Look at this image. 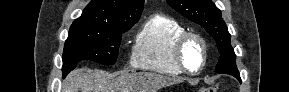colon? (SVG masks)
<instances>
[{
    "mask_svg": "<svg viewBox=\"0 0 289 92\" xmlns=\"http://www.w3.org/2000/svg\"><path fill=\"white\" fill-rule=\"evenodd\" d=\"M217 89L215 87L205 88L202 90V92H216Z\"/></svg>",
    "mask_w": 289,
    "mask_h": 92,
    "instance_id": "colon-1",
    "label": "colon"
}]
</instances>
